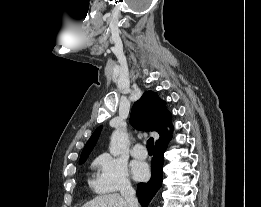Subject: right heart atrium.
<instances>
[{
    "mask_svg": "<svg viewBox=\"0 0 261 207\" xmlns=\"http://www.w3.org/2000/svg\"><path fill=\"white\" fill-rule=\"evenodd\" d=\"M96 177L93 187L99 193H113L130 187L127 165L110 154L100 155L94 163Z\"/></svg>",
    "mask_w": 261,
    "mask_h": 207,
    "instance_id": "obj_1",
    "label": "right heart atrium"
}]
</instances>
